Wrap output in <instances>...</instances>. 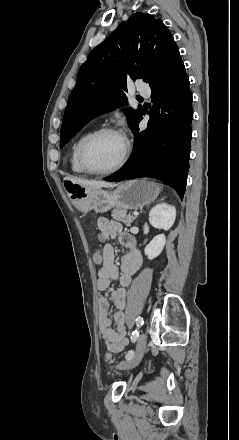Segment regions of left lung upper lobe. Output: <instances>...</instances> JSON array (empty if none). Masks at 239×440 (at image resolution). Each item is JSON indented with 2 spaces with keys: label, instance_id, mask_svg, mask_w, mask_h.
<instances>
[{
  "label": "left lung upper lobe",
  "instance_id": "obj_1",
  "mask_svg": "<svg viewBox=\"0 0 239 440\" xmlns=\"http://www.w3.org/2000/svg\"><path fill=\"white\" fill-rule=\"evenodd\" d=\"M176 43L168 28L151 14L135 13L89 54L70 94L61 127V146L92 118L127 103L131 78L151 82ZM142 114H129L131 128Z\"/></svg>",
  "mask_w": 239,
  "mask_h": 440
}]
</instances>
